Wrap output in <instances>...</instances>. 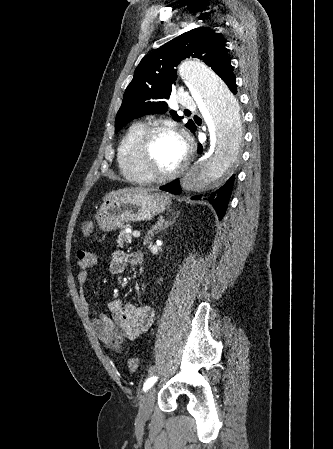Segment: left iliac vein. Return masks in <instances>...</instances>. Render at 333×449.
Segmentation results:
<instances>
[{
    "label": "left iliac vein",
    "instance_id": "obj_1",
    "mask_svg": "<svg viewBox=\"0 0 333 449\" xmlns=\"http://www.w3.org/2000/svg\"><path fill=\"white\" fill-rule=\"evenodd\" d=\"M156 389L151 388L141 401L138 418L142 421H147L153 412Z\"/></svg>",
    "mask_w": 333,
    "mask_h": 449
}]
</instances>
